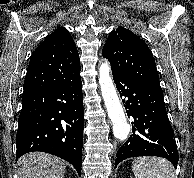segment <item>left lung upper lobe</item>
I'll return each instance as SVG.
<instances>
[{
	"label": "left lung upper lobe",
	"instance_id": "1",
	"mask_svg": "<svg viewBox=\"0 0 194 178\" xmlns=\"http://www.w3.org/2000/svg\"><path fill=\"white\" fill-rule=\"evenodd\" d=\"M102 54L111 63L112 73L160 87L159 76L151 50L145 41L129 29L113 30Z\"/></svg>",
	"mask_w": 194,
	"mask_h": 178
}]
</instances>
